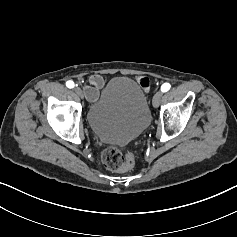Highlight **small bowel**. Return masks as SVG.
Returning a JSON list of instances; mask_svg holds the SVG:
<instances>
[{
    "label": "small bowel",
    "mask_w": 237,
    "mask_h": 237,
    "mask_svg": "<svg viewBox=\"0 0 237 237\" xmlns=\"http://www.w3.org/2000/svg\"><path fill=\"white\" fill-rule=\"evenodd\" d=\"M137 80L140 86L144 90L148 91L149 86H150L149 79L147 77L141 76V77H138ZM104 85H105V80L101 75L95 74V75L90 76L88 79V83L84 87V93H85L86 98L89 101H95L98 98L100 89L103 88Z\"/></svg>",
    "instance_id": "obj_1"
}]
</instances>
